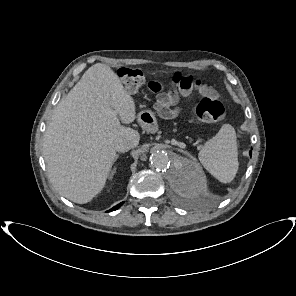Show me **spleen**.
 Segmentation results:
<instances>
[{
	"label": "spleen",
	"mask_w": 296,
	"mask_h": 296,
	"mask_svg": "<svg viewBox=\"0 0 296 296\" xmlns=\"http://www.w3.org/2000/svg\"><path fill=\"white\" fill-rule=\"evenodd\" d=\"M198 158L204 168L216 179L223 183L231 182L239 166L234 128L224 124L219 132L202 146Z\"/></svg>",
	"instance_id": "3e777b00"
}]
</instances>
